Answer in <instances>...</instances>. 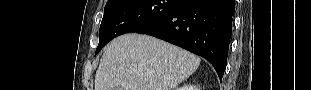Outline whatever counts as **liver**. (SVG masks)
I'll list each match as a JSON object with an SVG mask.
<instances>
[{
  "mask_svg": "<svg viewBox=\"0 0 311 90\" xmlns=\"http://www.w3.org/2000/svg\"><path fill=\"white\" fill-rule=\"evenodd\" d=\"M200 58L163 40L139 34L114 39L95 75V90H172L192 75Z\"/></svg>",
  "mask_w": 311,
  "mask_h": 90,
  "instance_id": "1",
  "label": "liver"
}]
</instances>
